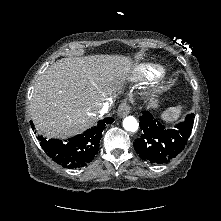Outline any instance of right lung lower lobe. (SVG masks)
<instances>
[{
    "label": "right lung lower lobe",
    "instance_id": "right-lung-lower-lobe-1",
    "mask_svg": "<svg viewBox=\"0 0 221 221\" xmlns=\"http://www.w3.org/2000/svg\"><path fill=\"white\" fill-rule=\"evenodd\" d=\"M114 118L100 120L97 126L88 129L81 135L61 140L43 138L38 136L40 145L47 155L64 168H81L90 163L99 150L102 132L107 124L113 123ZM32 129L34 125L30 122Z\"/></svg>",
    "mask_w": 221,
    "mask_h": 221
}]
</instances>
